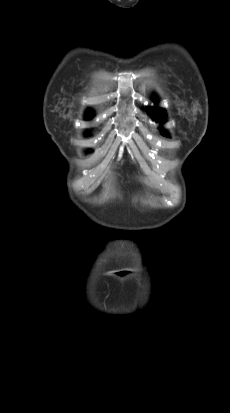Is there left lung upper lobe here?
I'll return each instance as SVG.
<instances>
[{"label":"left lung upper lobe","instance_id":"1","mask_svg":"<svg viewBox=\"0 0 230 413\" xmlns=\"http://www.w3.org/2000/svg\"><path fill=\"white\" fill-rule=\"evenodd\" d=\"M148 113L152 114L155 121L163 123L166 118L165 111L161 108H148ZM161 134L168 137V133L165 130H161Z\"/></svg>","mask_w":230,"mask_h":413}]
</instances>
